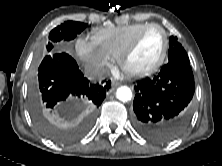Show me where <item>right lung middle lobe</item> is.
<instances>
[{
	"label": "right lung middle lobe",
	"mask_w": 222,
	"mask_h": 166,
	"mask_svg": "<svg viewBox=\"0 0 222 166\" xmlns=\"http://www.w3.org/2000/svg\"><path fill=\"white\" fill-rule=\"evenodd\" d=\"M87 25L88 24L81 22L66 21L57 26L49 34V42L46 46L47 51L50 52L53 47L58 45L61 41H70L74 39L77 34L81 33L87 27ZM31 111L33 120L40 132L60 142L68 140L65 132L53 121V116L46 114L40 108L36 110L31 108Z\"/></svg>",
	"instance_id": "obj_1"
}]
</instances>
